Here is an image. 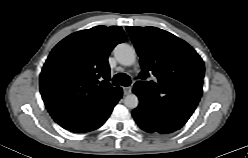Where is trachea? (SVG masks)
I'll use <instances>...</instances> for the list:
<instances>
[{
    "mask_svg": "<svg viewBox=\"0 0 248 158\" xmlns=\"http://www.w3.org/2000/svg\"><path fill=\"white\" fill-rule=\"evenodd\" d=\"M113 85L129 86L131 84L130 77L125 73H118L113 77Z\"/></svg>",
    "mask_w": 248,
    "mask_h": 158,
    "instance_id": "obj_1",
    "label": "trachea"
}]
</instances>
